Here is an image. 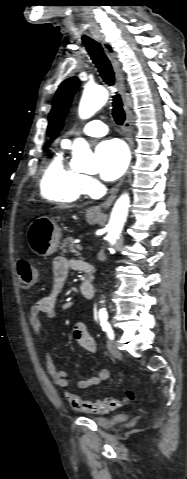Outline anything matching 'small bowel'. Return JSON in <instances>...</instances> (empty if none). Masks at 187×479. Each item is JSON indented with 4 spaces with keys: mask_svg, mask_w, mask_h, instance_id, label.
<instances>
[{
    "mask_svg": "<svg viewBox=\"0 0 187 479\" xmlns=\"http://www.w3.org/2000/svg\"><path fill=\"white\" fill-rule=\"evenodd\" d=\"M90 270L85 263L79 260H69L66 257H56L53 260V285L49 294L39 298L30 308L29 324L31 327V336L34 342L39 343L41 337V316L47 318H55L57 298L68 279L70 270ZM73 337L78 344L88 353L96 352V343L90 336L86 324L83 320H79L73 325ZM47 359V372L51 377L53 384L60 389L76 387L77 389H87L96 386L110 377V372L106 369H101L96 375L82 379L76 384H71L69 381L70 374L64 370L58 369L53 363L49 353L45 351Z\"/></svg>",
    "mask_w": 187,
    "mask_h": 479,
    "instance_id": "small-bowel-1",
    "label": "small bowel"
}]
</instances>
